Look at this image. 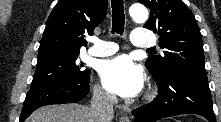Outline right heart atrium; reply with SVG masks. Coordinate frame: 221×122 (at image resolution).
<instances>
[{
  "instance_id": "obj_1",
  "label": "right heart atrium",
  "mask_w": 221,
  "mask_h": 122,
  "mask_svg": "<svg viewBox=\"0 0 221 122\" xmlns=\"http://www.w3.org/2000/svg\"><path fill=\"white\" fill-rule=\"evenodd\" d=\"M94 94L97 99L104 102H113L114 98L110 93H108L102 86L95 85Z\"/></svg>"
}]
</instances>
